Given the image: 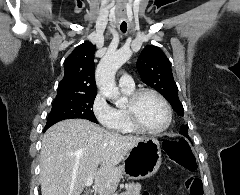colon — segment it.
<instances>
[{
    "label": "colon",
    "mask_w": 240,
    "mask_h": 195,
    "mask_svg": "<svg viewBox=\"0 0 240 195\" xmlns=\"http://www.w3.org/2000/svg\"><path fill=\"white\" fill-rule=\"evenodd\" d=\"M164 151L175 163L187 170L197 168V160L187 139L167 140L164 142ZM188 194L203 195L202 181L197 177H188Z\"/></svg>",
    "instance_id": "colon-1"
}]
</instances>
